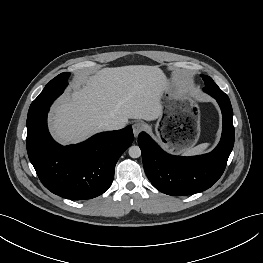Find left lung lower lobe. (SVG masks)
Instances as JSON below:
<instances>
[{"instance_id":"0a47b994","label":"left lung lower lobe","mask_w":263,"mask_h":263,"mask_svg":"<svg viewBox=\"0 0 263 263\" xmlns=\"http://www.w3.org/2000/svg\"><path fill=\"white\" fill-rule=\"evenodd\" d=\"M222 111L223 131L217 147L210 153L181 157L164 152L151 137L138 136L145 173L159 191L168 195H191L210 188L221 177L234 145L233 110L228 96L211 93Z\"/></svg>"}]
</instances>
